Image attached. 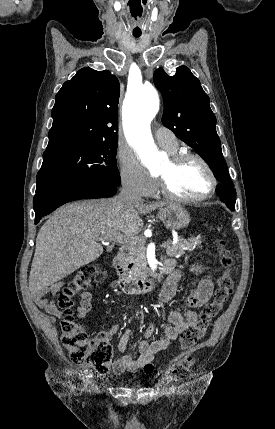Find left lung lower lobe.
I'll return each instance as SVG.
<instances>
[{
    "instance_id": "obj_1",
    "label": "left lung lower lobe",
    "mask_w": 275,
    "mask_h": 429,
    "mask_svg": "<svg viewBox=\"0 0 275 429\" xmlns=\"http://www.w3.org/2000/svg\"><path fill=\"white\" fill-rule=\"evenodd\" d=\"M216 193L217 195H219L220 199H223L225 197V190L221 185L217 186Z\"/></svg>"
}]
</instances>
